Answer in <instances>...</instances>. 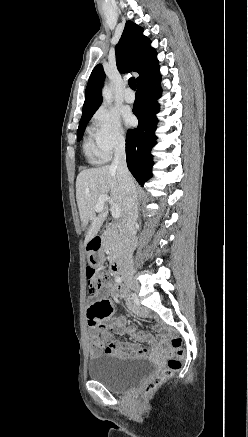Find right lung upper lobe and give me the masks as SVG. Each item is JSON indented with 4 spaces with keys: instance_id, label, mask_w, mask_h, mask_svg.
<instances>
[{
    "instance_id": "right-lung-upper-lobe-1",
    "label": "right lung upper lobe",
    "mask_w": 248,
    "mask_h": 437,
    "mask_svg": "<svg viewBox=\"0 0 248 437\" xmlns=\"http://www.w3.org/2000/svg\"><path fill=\"white\" fill-rule=\"evenodd\" d=\"M142 32L141 27L128 21L115 48L118 70L121 73L130 71L139 73L137 82L158 65L157 53L150 46L151 41ZM104 80L105 73L102 65L99 64L93 69L86 87L81 120L92 116L99 108Z\"/></svg>"
}]
</instances>
